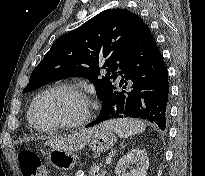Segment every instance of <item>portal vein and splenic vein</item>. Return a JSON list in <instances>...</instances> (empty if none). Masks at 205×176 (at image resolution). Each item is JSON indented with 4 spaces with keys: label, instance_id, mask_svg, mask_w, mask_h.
<instances>
[{
    "label": "portal vein and splenic vein",
    "instance_id": "portal-vein-and-splenic-vein-1",
    "mask_svg": "<svg viewBox=\"0 0 205 176\" xmlns=\"http://www.w3.org/2000/svg\"><path fill=\"white\" fill-rule=\"evenodd\" d=\"M111 161H112V157H111V156H109V157L106 159V164H110V163H111Z\"/></svg>",
    "mask_w": 205,
    "mask_h": 176
}]
</instances>
